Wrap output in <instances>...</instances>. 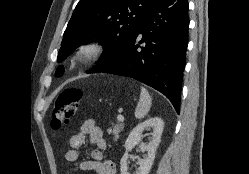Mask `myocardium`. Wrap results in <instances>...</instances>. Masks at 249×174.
<instances>
[{
  "label": "myocardium",
  "mask_w": 249,
  "mask_h": 174,
  "mask_svg": "<svg viewBox=\"0 0 249 174\" xmlns=\"http://www.w3.org/2000/svg\"><path fill=\"white\" fill-rule=\"evenodd\" d=\"M105 52V45L98 39L83 41L77 48V58L84 63L97 61Z\"/></svg>",
  "instance_id": "1"
}]
</instances>
